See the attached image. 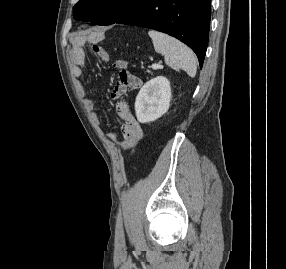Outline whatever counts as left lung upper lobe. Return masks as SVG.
Returning a JSON list of instances; mask_svg holds the SVG:
<instances>
[{"label":"left lung upper lobe","instance_id":"left-lung-upper-lobe-1","mask_svg":"<svg viewBox=\"0 0 286 269\" xmlns=\"http://www.w3.org/2000/svg\"><path fill=\"white\" fill-rule=\"evenodd\" d=\"M144 0H79L74 16L93 25H110L139 7Z\"/></svg>","mask_w":286,"mask_h":269}]
</instances>
